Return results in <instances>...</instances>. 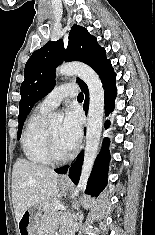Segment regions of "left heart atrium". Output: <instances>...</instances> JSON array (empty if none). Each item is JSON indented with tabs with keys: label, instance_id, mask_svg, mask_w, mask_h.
<instances>
[{
	"label": "left heart atrium",
	"instance_id": "39dd6f15",
	"mask_svg": "<svg viewBox=\"0 0 155 235\" xmlns=\"http://www.w3.org/2000/svg\"><path fill=\"white\" fill-rule=\"evenodd\" d=\"M81 137V117L76 111H68L61 125L60 138L70 151L75 148Z\"/></svg>",
	"mask_w": 155,
	"mask_h": 235
}]
</instances>
